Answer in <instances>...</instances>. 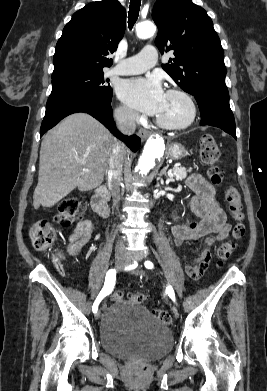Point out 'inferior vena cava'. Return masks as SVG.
I'll return each instance as SVG.
<instances>
[{"instance_id": "602c4592", "label": "inferior vena cava", "mask_w": 267, "mask_h": 391, "mask_svg": "<svg viewBox=\"0 0 267 391\" xmlns=\"http://www.w3.org/2000/svg\"><path fill=\"white\" fill-rule=\"evenodd\" d=\"M138 114L133 111H122L115 115V120L118 129L125 135H131L136 129V119ZM124 161V147L120 142L116 141L112 148L108 160V167L106 170L108 184L111 187L114 206L120 200V182L122 176V167ZM125 248L124 242L118 240L116 244V251L121 252Z\"/></svg>"}]
</instances>
